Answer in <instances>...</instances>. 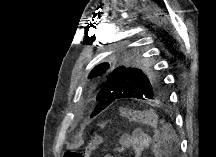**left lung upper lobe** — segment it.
I'll use <instances>...</instances> for the list:
<instances>
[{"instance_id":"left-lung-upper-lobe-1","label":"left lung upper lobe","mask_w":216,"mask_h":157,"mask_svg":"<svg viewBox=\"0 0 216 157\" xmlns=\"http://www.w3.org/2000/svg\"><path fill=\"white\" fill-rule=\"evenodd\" d=\"M117 54L109 63L97 65L88 78L105 77L97 95L98 104L122 99L155 100L164 96L165 84L159 74L143 64V56L136 48L112 49Z\"/></svg>"}]
</instances>
